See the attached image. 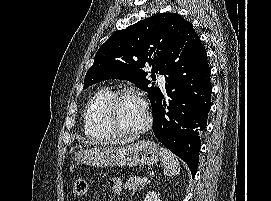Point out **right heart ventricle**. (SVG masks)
I'll use <instances>...</instances> for the list:
<instances>
[{
	"instance_id": "e07e8e85",
	"label": "right heart ventricle",
	"mask_w": 271,
	"mask_h": 201,
	"mask_svg": "<svg viewBox=\"0 0 271 201\" xmlns=\"http://www.w3.org/2000/svg\"><path fill=\"white\" fill-rule=\"evenodd\" d=\"M111 94L109 88H102L88 102L83 115L84 131L87 136L100 140H109L118 136L104 115V107Z\"/></svg>"
}]
</instances>
